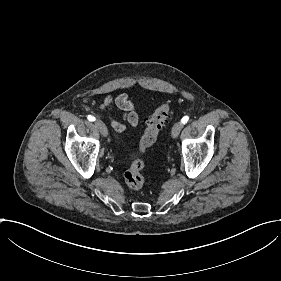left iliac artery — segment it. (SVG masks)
<instances>
[{
  "instance_id": "obj_1",
  "label": "left iliac artery",
  "mask_w": 281,
  "mask_h": 281,
  "mask_svg": "<svg viewBox=\"0 0 281 281\" xmlns=\"http://www.w3.org/2000/svg\"><path fill=\"white\" fill-rule=\"evenodd\" d=\"M188 120H189V117H188V116H184V117L181 119V123L185 124V123H187Z\"/></svg>"
}]
</instances>
